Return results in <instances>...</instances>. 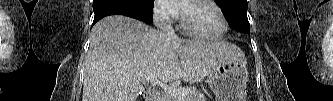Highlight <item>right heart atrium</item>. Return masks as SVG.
Returning a JSON list of instances; mask_svg holds the SVG:
<instances>
[{
  "label": "right heart atrium",
  "instance_id": "1",
  "mask_svg": "<svg viewBox=\"0 0 333 101\" xmlns=\"http://www.w3.org/2000/svg\"><path fill=\"white\" fill-rule=\"evenodd\" d=\"M152 15L157 25L168 26L177 18L178 10L170 0H155Z\"/></svg>",
  "mask_w": 333,
  "mask_h": 101
}]
</instances>
